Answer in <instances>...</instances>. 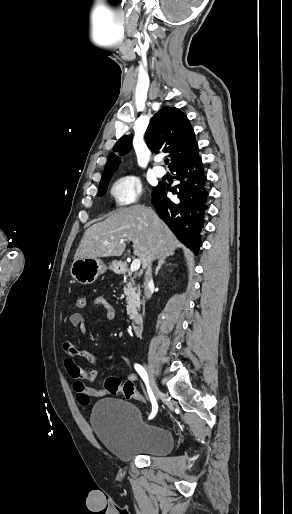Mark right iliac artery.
<instances>
[{"mask_svg": "<svg viewBox=\"0 0 292 514\" xmlns=\"http://www.w3.org/2000/svg\"><path fill=\"white\" fill-rule=\"evenodd\" d=\"M134 368L135 370L138 372V374L140 375V377L143 379L144 383L146 384V387H147V392H148V395H149V398H150V401L152 403V412L149 416V419H152L156 413H157V410H158V405H157V402H156V399H155V396L149 386V381H148V375H147V372L145 371V369L139 365V364H135L134 365Z\"/></svg>", "mask_w": 292, "mask_h": 514, "instance_id": "82829eb1", "label": "right iliac artery"}]
</instances>
